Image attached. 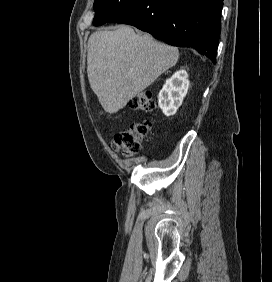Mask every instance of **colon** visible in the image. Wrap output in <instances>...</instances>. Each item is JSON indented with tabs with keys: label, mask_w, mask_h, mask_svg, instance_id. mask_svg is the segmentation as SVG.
Listing matches in <instances>:
<instances>
[{
	"label": "colon",
	"mask_w": 272,
	"mask_h": 282,
	"mask_svg": "<svg viewBox=\"0 0 272 282\" xmlns=\"http://www.w3.org/2000/svg\"><path fill=\"white\" fill-rule=\"evenodd\" d=\"M129 108L135 112H152L155 109V102L151 94H140L130 101ZM150 127L151 123L148 121L129 124L113 135L111 148L125 157L136 155Z\"/></svg>",
	"instance_id": "colon-1"
}]
</instances>
